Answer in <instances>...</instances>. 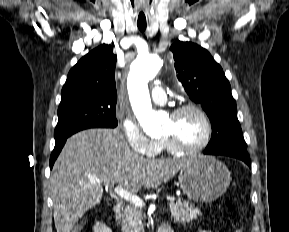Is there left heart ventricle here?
<instances>
[{"mask_svg":"<svg viewBox=\"0 0 289 232\" xmlns=\"http://www.w3.org/2000/svg\"><path fill=\"white\" fill-rule=\"evenodd\" d=\"M205 136V125L194 111H187L176 118L169 117L164 125L163 137H168L183 146H193Z\"/></svg>","mask_w":289,"mask_h":232,"instance_id":"1","label":"left heart ventricle"}]
</instances>
